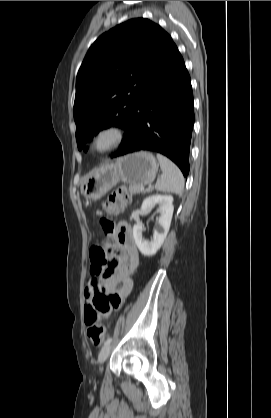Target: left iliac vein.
<instances>
[{"mask_svg": "<svg viewBox=\"0 0 271 418\" xmlns=\"http://www.w3.org/2000/svg\"><path fill=\"white\" fill-rule=\"evenodd\" d=\"M110 351H111V345L109 344V345H106V346H104L102 349H101V351H100V353H99V356H98V363L100 364V365H102L106 360H107V358L109 357V355H110ZM100 370H101V368H100Z\"/></svg>", "mask_w": 271, "mask_h": 418, "instance_id": "obj_1", "label": "left iliac vein"}]
</instances>
